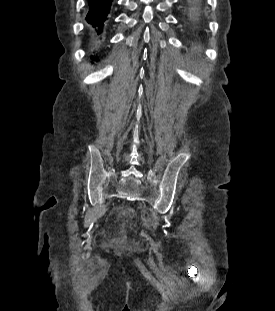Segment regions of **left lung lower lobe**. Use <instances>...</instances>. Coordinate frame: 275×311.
I'll return each instance as SVG.
<instances>
[{
  "mask_svg": "<svg viewBox=\"0 0 275 311\" xmlns=\"http://www.w3.org/2000/svg\"><path fill=\"white\" fill-rule=\"evenodd\" d=\"M188 8L187 26L190 28H196L199 25L197 18V11L200 4V0H186Z\"/></svg>",
  "mask_w": 275,
  "mask_h": 311,
  "instance_id": "0a47b994",
  "label": "left lung lower lobe"
}]
</instances>
